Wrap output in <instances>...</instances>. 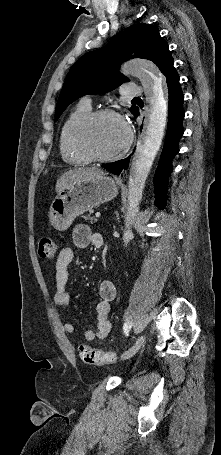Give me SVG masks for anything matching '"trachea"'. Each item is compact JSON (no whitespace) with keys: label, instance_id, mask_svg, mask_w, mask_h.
I'll return each instance as SVG.
<instances>
[{"label":"trachea","instance_id":"3493384b","mask_svg":"<svg viewBox=\"0 0 221 455\" xmlns=\"http://www.w3.org/2000/svg\"><path fill=\"white\" fill-rule=\"evenodd\" d=\"M133 99H139V98H138V97H136V98H133Z\"/></svg>","mask_w":221,"mask_h":455}]
</instances>
